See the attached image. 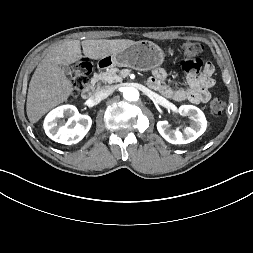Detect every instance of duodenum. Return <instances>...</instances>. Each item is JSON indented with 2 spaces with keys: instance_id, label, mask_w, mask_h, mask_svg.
I'll return each instance as SVG.
<instances>
[{
  "instance_id": "1",
  "label": "duodenum",
  "mask_w": 253,
  "mask_h": 253,
  "mask_svg": "<svg viewBox=\"0 0 253 253\" xmlns=\"http://www.w3.org/2000/svg\"><path fill=\"white\" fill-rule=\"evenodd\" d=\"M96 81H97V77H95L82 91V97L84 99H89L92 94L93 91L95 89V85H96Z\"/></svg>"
}]
</instances>
